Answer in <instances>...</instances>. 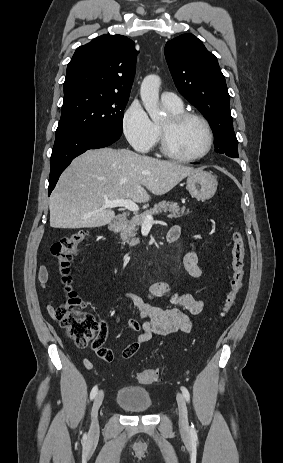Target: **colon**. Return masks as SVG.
<instances>
[{
	"instance_id": "1",
	"label": "colon",
	"mask_w": 283,
	"mask_h": 463,
	"mask_svg": "<svg viewBox=\"0 0 283 463\" xmlns=\"http://www.w3.org/2000/svg\"><path fill=\"white\" fill-rule=\"evenodd\" d=\"M85 236L84 231H76L61 237L52 245V254L57 263L60 283L65 294V300L55 309L54 316L78 346L91 344L98 357L111 362L114 360V355L103 345L106 335L105 325L96 314L86 308L84 301L71 286L70 264L79 246L85 240ZM232 239V277L230 289L219 316L220 319L229 314L243 286L244 240L239 230L233 231ZM136 379L142 384H154L159 382L161 377L157 370L146 369L138 372Z\"/></svg>"
}]
</instances>
